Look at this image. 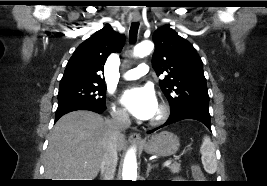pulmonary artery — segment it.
<instances>
[{"label":"pulmonary artery","mask_w":267,"mask_h":186,"mask_svg":"<svg viewBox=\"0 0 267 186\" xmlns=\"http://www.w3.org/2000/svg\"><path fill=\"white\" fill-rule=\"evenodd\" d=\"M149 72V66L147 64H139L136 68L128 70L124 73L123 77L126 80H135Z\"/></svg>","instance_id":"obj_1"}]
</instances>
